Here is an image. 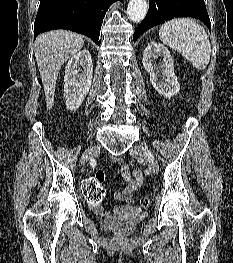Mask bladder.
I'll return each mask as SVG.
<instances>
[{"label": "bladder", "instance_id": "obj_1", "mask_svg": "<svg viewBox=\"0 0 233 263\" xmlns=\"http://www.w3.org/2000/svg\"><path fill=\"white\" fill-rule=\"evenodd\" d=\"M145 216L144 212L124 210L107 217L103 221V227L110 232H117L123 235L129 234Z\"/></svg>", "mask_w": 233, "mask_h": 263}]
</instances>
